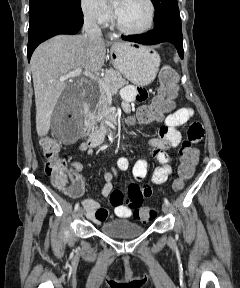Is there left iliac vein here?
<instances>
[{"mask_svg": "<svg viewBox=\"0 0 240 288\" xmlns=\"http://www.w3.org/2000/svg\"><path fill=\"white\" fill-rule=\"evenodd\" d=\"M162 211L167 214L169 212L168 206L164 203L162 204Z\"/></svg>", "mask_w": 240, "mask_h": 288, "instance_id": "left-iliac-vein-1", "label": "left iliac vein"}]
</instances>
